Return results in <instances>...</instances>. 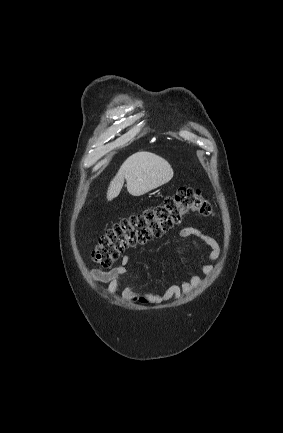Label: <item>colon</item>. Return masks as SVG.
<instances>
[{
    "label": "colon",
    "instance_id": "colon-1",
    "mask_svg": "<svg viewBox=\"0 0 283 433\" xmlns=\"http://www.w3.org/2000/svg\"><path fill=\"white\" fill-rule=\"evenodd\" d=\"M189 213L202 218L215 216L211 203L199 190L182 187L161 204L112 225L99 238L91 258L101 267L109 268L125 250L163 236Z\"/></svg>",
    "mask_w": 283,
    "mask_h": 433
}]
</instances>
